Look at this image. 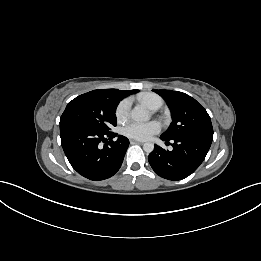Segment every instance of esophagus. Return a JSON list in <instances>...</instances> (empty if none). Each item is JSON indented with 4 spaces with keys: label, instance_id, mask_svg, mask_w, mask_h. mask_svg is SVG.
I'll return each instance as SVG.
<instances>
[{
    "label": "esophagus",
    "instance_id": "obj_1",
    "mask_svg": "<svg viewBox=\"0 0 261 261\" xmlns=\"http://www.w3.org/2000/svg\"><path fill=\"white\" fill-rule=\"evenodd\" d=\"M131 144H143L144 142L142 141H137V140H130Z\"/></svg>",
    "mask_w": 261,
    "mask_h": 261
}]
</instances>
